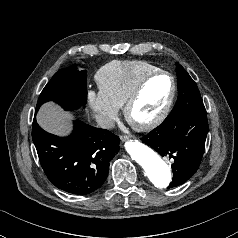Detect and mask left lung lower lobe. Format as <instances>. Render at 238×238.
<instances>
[{
	"instance_id": "1",
	"label": "left lung lower lobe",
	"mask_w": 238,
	"mask_h": 238,
	"mask_svg": "<svg viewBox=\"0 0 238 238\" xmlns=\"http://www.w3.org/2000/svg\"><path fill=\"white\" fill-rule=\"evenodd\" d=\"M208 132L206 112L178 113L141 140L171 161L173 178L168 188L185 183L199 168Z\"/></svg>"
}]
</instances>
